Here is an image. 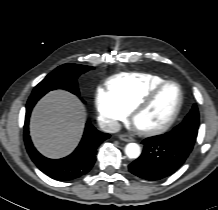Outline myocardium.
<instances>
[{"label":"myocardium","mask_w":218,"mask_h":210,"mask_svg":"<svg viewBox=\"0 0 218 210\" xmlns=\"http://www.w3.org/2000/svg\"><path fill=\"white\" fill-rule=\"evenodd\" d=\"M169 84H174L178 87L179 89V102L178 105L173 113V115L170 117V119L163 124L160 127L157 128H153V129H139L137 128V131L144 136H156V135H160L166 131H168L174 124L175 122L178 120L180 113L182 111L183 108V104H184V90L183 87L181 86V84L175 80H164L161 83L157 84L156 86H154L152 89H150L145 96L139 100L136 105L132 108L131 110V120L134 123L135 119L137 117V115L142 112L143 110H145L146 108H148L153 101L155 100V98L157 97V95L159 94V92L167 85ZM135 125V123H134Z\"/></svg>","instance_id":"1"}]
</instances>
